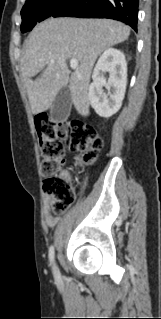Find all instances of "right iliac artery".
Segmentation results:
<instances>
[{"instance_id":"obj_1","label":"right iliac artery","mask_w":161,"mask_h":319,"mask_svg":"<svg viewBox=\"0 0 161 319\" xmlns=\"http://www.w3.org/2000/svg\"><path fill=\"white\" fill-rule=\"evenodd\" d=\"M49 259H50V262H53L54 260V246H51L49 248Z\"/></svg>"}]
</instances>
